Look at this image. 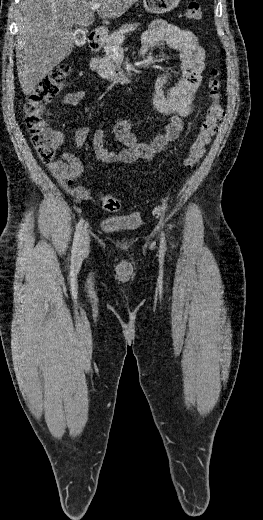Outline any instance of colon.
Masks as SVG:
<instances>
[{
	"mask_svg": "<svg viewBox=\"0 0 263 520\" xmlns=\"http://www.w3.org/2000/svg\"><path fill=\"white\" fill-rule=\"evenodd\" d=\"M186 17L192 21L201 20L200 5L196 2H190L186 9ZM69 72L70 68L66 64L54 68L29 94L24 105V122L31 135L32 145L40 160L45 163L53 160L59 146L54 135L47 130L46 107L64 87ZM208 86L211 101L206 108L204 119L185 159V166L188 168L195 166L203 157L206 147L216 133L218 123L223 116L221 82L217 70L212 71ZM101 204L108 212H117L121 208L120 200L112 195L103 196Z\"/></svg>",
	"mask_w": 263,
	"mask_h": 520,
	"instance_id": "5ec220e1",
	"label": "colon"
}]
</instances>
